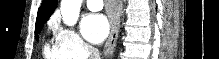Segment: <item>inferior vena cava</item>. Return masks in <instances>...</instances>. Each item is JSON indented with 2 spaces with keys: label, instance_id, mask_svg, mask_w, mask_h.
I'll list each match as a JSON object with an SVG mask.
<instances>
[{
  "label": "inferior vena cava",
  "instance_id": "602c4592",
  "mask_svg": "<svg viewBox=\"0 0 219 59\" xmlns=\"http://www.w3.org/2000/svg\"><path fill=\"white\" fill-rule=\"evenodd\" d=\"M90 59H100L99 50L93 46H89L88 48Z\"/></svg>",
  "mask_w": 219,
  "mask_h": 59
}]
</instances>
